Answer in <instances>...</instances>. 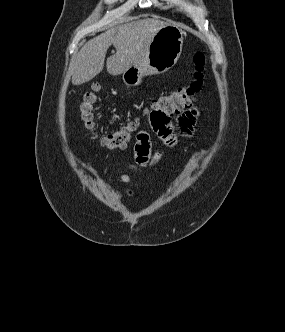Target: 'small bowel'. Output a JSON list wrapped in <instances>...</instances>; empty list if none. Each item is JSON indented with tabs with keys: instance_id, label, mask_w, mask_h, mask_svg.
Here are the masks:
<instances>
[{
	"instance_id": "c3829d8e",
	"label": "small bowel",
	"mask_w": 285,
	"mask_h": 332,
	"mask_svg": "<svg viewBox=\"0 0 285 332\" xmlns=\"http://www.w3.org/2000/svg\"><path fill=\"white\" fill-rule=\"evenodd\" d=\"M198 113L195 109L185 111L179 118L180 130L184 135H189L195 125ZM176 111H167L166 107H158L157 111H148V126H151V132L157 133L166 143H173L175 136ZM134 163L128 164V170L138 176H143V168L147 166L153 158L150 135L146 131H141L134 146ZM123 182L134 184L130 175L121 174Z\"/></svg>"
}]
</instances>
